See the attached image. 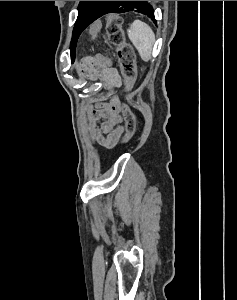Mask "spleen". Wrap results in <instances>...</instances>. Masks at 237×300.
Wrapping results in <instances>:
<instances>
[{
	"mask_svg": "<svg viewBox=\"0 0 237 300\" xmlns=\"http://www.w3.org/2000/svg\"><path fill=\"white\" fill-rule=\"evenodd\" d=\"M127 35L131 43L136 47L141 59L150 61L152 47L155 43V35L151 27L146 25V23H142V21H134L130 25V29H127Z\"/></svg>",
	"mask_w": 237,
	"mask_h": 300,
	"instance_id": "3e777b00",
	"label": "spleen"
}]
</instances>
